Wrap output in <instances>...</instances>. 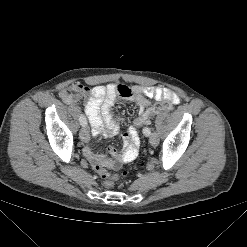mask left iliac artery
Wrapping results in <instances>:
<instances>
[{
  "label": "left iliac artery",
  "mask_w": 247,
  "mask_h": 247,
  "mask_svg": "<svg viewBox=\"0 0 247 247\" xmlns=\"http://www.w3.org/2000/svg\"><path fill=\"white\" fill-rule=\"evenodd\" d=\"M143 133H144V135L149 136L151 134V131L149 128H144Z\"/></svg>",
  "instance_id": "1"
}]
</instances>
